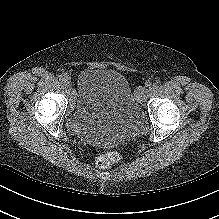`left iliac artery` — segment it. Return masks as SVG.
I'll return each mask as SVG.
<instances>
[{
  "instance_id": "obj_1",
  "label": "left iliac artery",
  "mask_w": 219,
  "mask_h": 219,
  "mask_svg": "<svg viewBox=\"0 0 219 219\" xmlns=\"http://www.w3.org/2000/svg\"><path fill=\"white\" fill-rule=\"evenodd\" d=\"M148 85V84H147ZM148 86H150V85H148ZM159 88V83H154L153 85H152V89L153 90H156V89H158Z\"/></svg>"
}]
</instances>
